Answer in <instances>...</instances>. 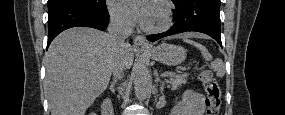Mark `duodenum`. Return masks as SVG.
Wrapping results in <instances>:
<instances>
[{"instance_id":"obj_1","label":"duodenum","mask_w":285,"mask_h":115,"mask_svg":"<svg viewBox=\"0 0 285 115\" xmlns=\"http://www.w3.org/2000/svg\"><path fill=\"white\" fill-rule=\"evenodd\" d=\"M101 111L103 115H112V106L108 100H105L102 103Z\"/></svg>"}]
</instances>
